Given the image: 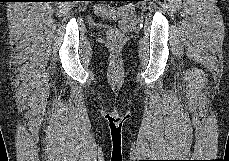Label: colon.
Listing matches in <instances>:
<instances>
[{"mask_svg": "<svg viewBox=\"0 0 229 161\" xmlns=\"http://www.w3.org/2000/svg\"><path fill=\"white\" fill-rule=\"evenodd\" d=\"M135 8L133 5H122L119 7H113L108 4H96L94 7V12L97 16L103 18H112V17H124L130 16L134 13ZM108 43L112 47H118L122 41V34L117 29H111L107 35Z\"/></svg>", "mask_w": 229, "mask_h": 161, "instance_id": "1", "label": "colon"}]
</instances>
